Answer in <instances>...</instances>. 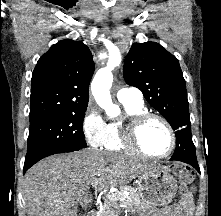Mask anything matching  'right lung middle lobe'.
<instances>
[{"instance_id": "1", "label": "right lung middle lobe", "mask_w": 221, "mask_h": 216, "mask_svg": "<svg viewBox=\"0 0 221 216\" xmlns=\"http://www.w3.org/2000/svg\"><path fill=\"white\" fill-rule=\"evenodd\" d=\"M86 108H75L30 120L24 165L34 164L53 154L87 147L83 132Z\"/></svg>"}]
</instances>
